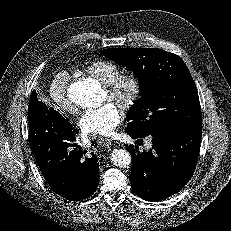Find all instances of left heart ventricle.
<instances>
[{
  "label": "left heart ventricle",
  "instance_id": "left-heart-ventricle-1",
  "mask_svg": "<svg viewBox=\"0 0 231 231\" xmlns=\"http://www.w3.org/2000/svg\"><path fill=\"white\" fill-rule=\"evenodd\" d=\"M104 97H105V100H107V99H108V97H107V94H106V93H104Z\"/></svg>",
  "mask_w": 231,
  "mask_h": 231
}]
</instances>
